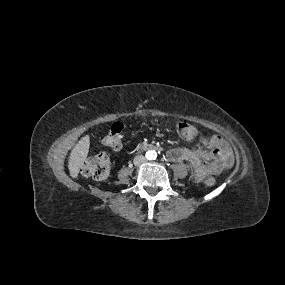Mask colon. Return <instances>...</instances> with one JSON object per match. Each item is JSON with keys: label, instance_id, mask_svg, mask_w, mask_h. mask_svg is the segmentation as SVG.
I'll return each mask as SVG.
<instances>
[{"label": "colon", "instance_id": "1", "mask_svg": "<svg viewBox=\"0 0 285 285\" xmlns=\"http://www.w3.org/2000/svg\"><path fill=\"white\" fill-rule=\"evenodd\" d=\"M177 133L182 139L189 141L196 137L197 129L190 123L180 122L177 125ZM124 137V125L122 123H114L105 136L103 143L112 149H120L125 145ZM110 171V159L104 152L87 158L81 168V172L85 177H92L95 180L107 179ZM215 183L216 181L213 177H208L205 180V185L209 187L214 186Z\"/></svg>", "mask_w": 285, "mask_h": 285}]
</instances>
